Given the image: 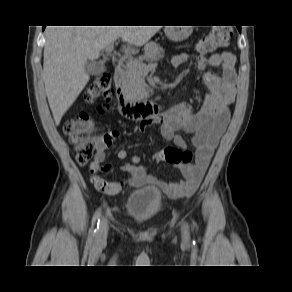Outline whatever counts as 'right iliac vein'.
Here are the masks:
<instances>
[{
  "label": "right iliac vein",
  "mask_w": 292,
  "mask_h": 292,
  "mask_svg": "<svg viewBox=\"0 0 292 292\" xmlns=\"http://www.w3.org/2000/svg\"><path fill=\"white\" fill-rule=\"evenodd\" d=\"M107 232H108V223H107V220L104 218L102 219L100 223V228L96 236L97 241L99 242L104 241L106 239Z\"/></svg>",
  "instance_id": "right-iliac-vein-1"
}]
</instances>
